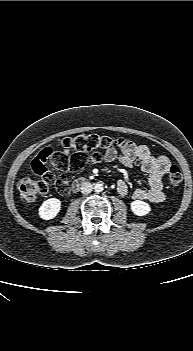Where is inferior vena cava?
Returning <instances> with one entry per match:
<instances>
[{"instance_id":"inferior-vena-cava-1","label":"inferior vena cava","mask_w":193,"mask_h":351,"mask_svg":"<svg viewBox=\"0 0 193 351\" xmlns=\"http://www.w3.org/2000/svg\"><path fill=\"white\" fill-rule=\"evenodd\" d=\"M93 190V185L89 182H85L84 184H82L81 186V192L83 194H89L91 193Z\"/></svg>"}]
</instances>
